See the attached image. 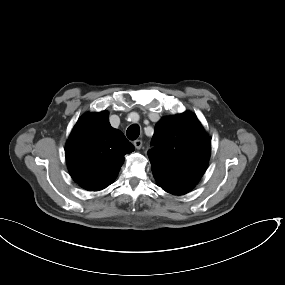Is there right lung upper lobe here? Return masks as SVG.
Masks as SVG:
<instances>
[{
  "instance_id": "cb5924a9",
  "label": "right lung upper lobe",
  "mask_w": 285,
  "mask_h": 285,
  "mask_svg": "<svg viewBox=\"0 0 285 285\" xmlns=\"http://www.w3.org/2000/svg\"><path fill=\"white\" fill-rule=\"evenodd\" d=\"M134 146L111 127L106 111L87 113L74 126L65 147L72 179L88 191H99L116 178L124 155Z\"/></svg>"
}]
</instances>
